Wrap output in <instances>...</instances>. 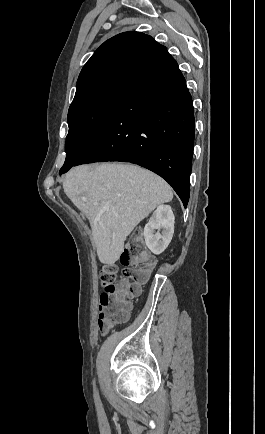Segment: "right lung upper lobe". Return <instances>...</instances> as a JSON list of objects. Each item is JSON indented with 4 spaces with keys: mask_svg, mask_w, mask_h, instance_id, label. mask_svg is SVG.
Here are the masks:
<instances>
[{
    "mask_svg": "<svg viewBox=\"0 0 265 434\" xmlns=\"http://www.w3.org/2000/svg\"><path fill=\"white\" fill-rule=\"evenodd\" d=\"M166 51V47L141 32L118 34L105 41L87 61L77 87L110 75H136Z\"/></svg>",
    "mask_w": 265,
    "mask_h": 434,
    "instance_id": "right-lung-upper-lobe-1",
    "label": "right lung upper lobe"
}]
</instances>
